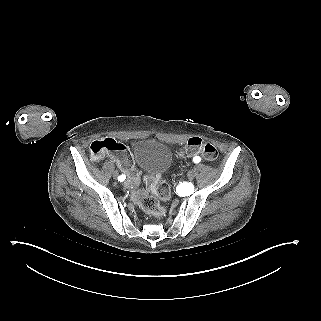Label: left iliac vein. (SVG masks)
Returning <instances> with one entry per match:
<instances>
[{"mask_svg":"<svg viewBox=\"0 0 321 321\" xmlns=\"http://www.w3.org/2000/svg\"><path fill=\"white\" fill-rule=\"evenodd\" d=\"M194 177H195V172H194L193 170H191V171H189V172L187 173V178H188L189 180H193Z\"/></svg>","mask_w":321,"mask_h":321,"instance_id":"left-iliac-vein-1","label":"left iliac vein"}]
</instances>
